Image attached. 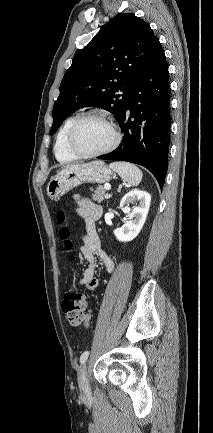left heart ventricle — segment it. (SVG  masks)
<instances>
[{
    "label": "left heart ventricle",
    "instance_id": "1",
    "mask_svg": "<svg viewBox=\"0 0 213 433\" xmlns=\"http://www.w3.org/2000/svg\"><path fill=\"white\" fill-rule=\"evenodd\" d=\"M113 141L110 127L103 121L89 119L82 123L76 134V145L85 153H93L107 148Z\"/></svg>",
    "mask_w": 213,
    "mask_h": 433
}]
</instances>
